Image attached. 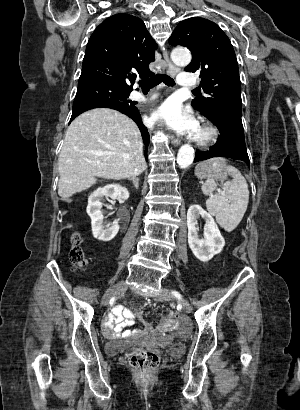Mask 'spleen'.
<instances>
[{
	"label": "spleen",
	"instance_id": "1",
	"mask_svg": "<svg viewBox=\"0 0 300 410\" xmlns=\"http://www.w3.org/2000/svg\"><path fill=\"white\" fill-rule=\"evenodd\" d=\"M226 168L233 180L222 183L223 194H212L217 188L213 180H207L201 189L209 196L206 200L209 213L216 217L222 228L231 232L238 226L247 210L249 190L246 179L238 169L231 165Z\"/></svg>",
	"mask_w": 300,
	"mask_h": 410
}]
</instances>
